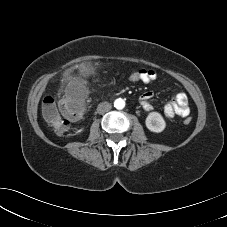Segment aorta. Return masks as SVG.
<instances>
[{
	"instance_id": "762f6f07",
	"label": "aorta",
	"mask_w": 227,
	"mask_h": 227,
	"mask_svg": "<svg viewBox=\"0 0 227 227\" xmlns=\"http://www.w3.org/2000/svg\"><path fill=\"white\" fill-rule=\"evenodd\" d=\"M114 107L121 110L125 107V101L122 98H118L114 101Z\"/></svg>"
}]
</instances>
